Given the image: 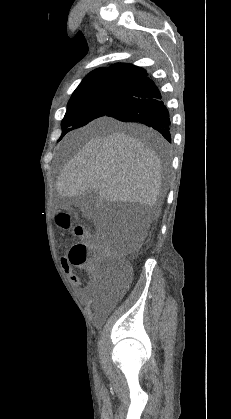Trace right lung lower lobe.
Returning a JSON list of instances; mask_svg holds the SVG:
<instances>
[{
	"label": "right lung lower lobe",
	"mask_w": 231,
	"mask_h": 419,
	"mask_svg": "<svg viewBox=\"0 0 231 419\" xmlns=\"http://www.w3.org/2000/svg\"><path fill=\"white\" fill-rule=\"evenodd\" d=\"M106 116L124 122L147 125L171 142L169 112L158 88L147 76L141 79L131 94Z\"/></svg>",
	"instance_id": "1"
}]
</instances>
